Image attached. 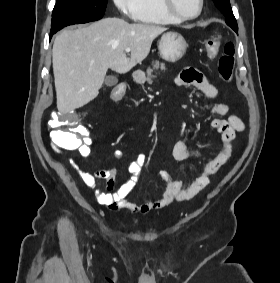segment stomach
Listing matches in <instances>:
<instances>
[{
    "label": "stomach",
    "instance_id": "stomach-1",
    "mask_svg": "<svg viewBox=\"0 0 280 283\" xmlns=\"http://www.w3.org/2000/svg\"><path fill=\"white\" fill-rule=\"evenodd\" d=\"M187 47L184 37L175 31L163 34L158 45L161 58L168 62L179 61L185 55Z\"/></svg>",
    "mask_w": 280,
    "mask_h": 283
}]
</instances>
